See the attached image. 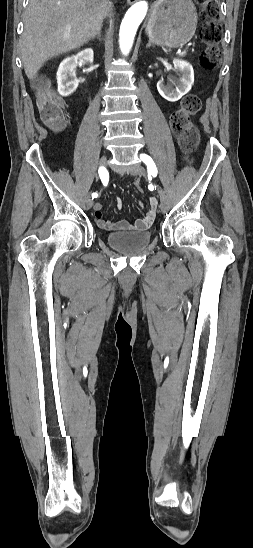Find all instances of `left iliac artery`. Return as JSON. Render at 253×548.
<instances>
[{
  "label": "left iliac artery",
  "mask_w": 253,
  "mask_h": 548,
  "mask_svg": "<svg viewBox=\"0 0 253 548\" xmlns=\"http://www.w3.org/2000/svg\"><path fill=\"white\" fill-rule=\"evenodd\" d=\"M140 158L146 164L148 173L155 177L157 175V168L152 158L147 154H141Z\"/></svg>",
  "instance_id": "left-iliac-artery-1"
}]
</instances>
